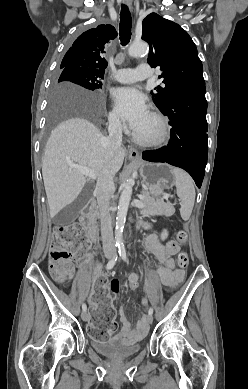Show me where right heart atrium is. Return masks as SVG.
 <instances>
[{
	"label": "right heart atrium",
	"mask_w": 248,
	"mask_h": 389,
	"mask_svg": "<svg viewBox=\"0 0 248 389\" xmlns=\"http://www.w3.org/2000/svg\"><path fill=\"white\" fill-rule=\"evenodd\" d=\"M109 123L110 126L114 129H120L122 127L121 118L117 111L114 109L109 113Z\"/></svg>",
	"instance_id": "d8ad5b80"
}]
</instances>
